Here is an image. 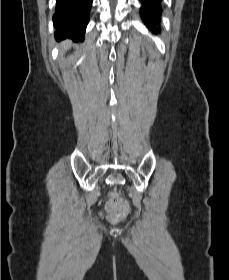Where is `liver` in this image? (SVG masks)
<instances>
[{
    "mask_svg": "<svg viewBox=\"0 0 229 280\" xmlns=\"http://www.w3.org/2000/svg\"><path fill=\"white\" fill-rule=\"evenodd\" d=\"M66 45H68V42H65V43H64V46H66Z\"/></svg>",
    "mask_w": 229,
    "mask_h": 280,
    "instance_id": "1",
    "label": "liver"
}]
</instances>
